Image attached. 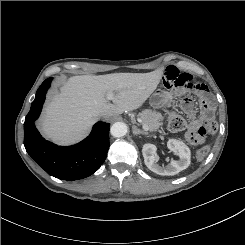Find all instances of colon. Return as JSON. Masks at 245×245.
Returning <instances> with one entry per match:
<instances>
[{
	"instance_id": "5ec220e1",
	"label": "colon",
	"mask_w": 245,
	"mask_h": 245,
	"mask_svg": "<svg viewBox=\"0 0 245 245\" xmlns=\"http://www.w3.org/2000/svg\"><path fill=\"white\" fill-rule=\"evenodd\" d=\"M169 127L173 131H183L186 129V121L184 118L176 113H171L169 118ZM218 125L216 121L208 119L199 129L187 130L185 137L186 140L192 145H203L208 136L216 133ZM209 152L207 146H201L196 156L199 160H203Z\"/></svg>"
}]
</instances>
